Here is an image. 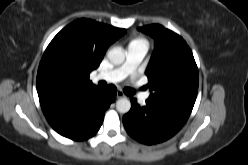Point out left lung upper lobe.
<instances>
[{"mask_svg": "<svg viewBox=\"0 0 248 165\" xmlns=\"http://www.w3.org/2000/svg\"><path fill=\"white\" fill-rule=\"evenodd\" d=\"M139 30L155 39V49L145 72L151 91L148 100L191 113L199 81L191 49L181 36L159 24Z\"/></svg>", "mask_w": 248, "mask_h": 165, "instance_id": "5c2ea615", "label": "left lung upper lobe"}]
</instances>
